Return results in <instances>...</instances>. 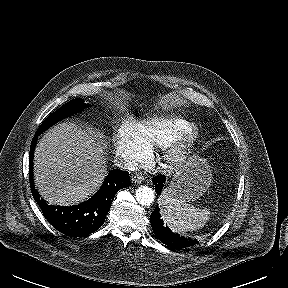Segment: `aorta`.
<instances>
[{
	"mask_svg": "<svg viewBox=\"0 0 288 288\" xmlns=\"http://www.w3.org/2000/svg\"><path fill=\"white\" fill-rule=\"evenodd\" d=\"M136 200L142 206H149L155 199V194L152 188L142 185L136 190Z\"/></svg>",
	"mask_w": 288,
	"mask_h": 288,
	"instance_id": "obj_1",
	"label": "aorta"
}]
</instances>
